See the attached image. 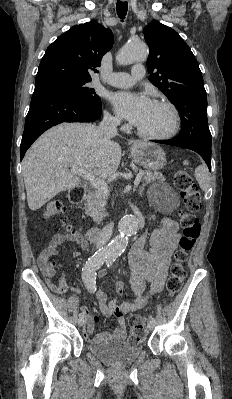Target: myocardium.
Instances as JSON below:
<instances>
[{
  "label": "myocardium",
  "mask_w": 232,
  "mask_h": 399,
  "mask_svg": "<svg viewBox=\"0 0 232 399\" xmlns=\"http://www.w3.org/2000/svg\"><path fill=\"white\" fill-rule=\"evenodd\" d=\"M153 103L157 104V105L166 106L171 110L172 116H173L172 128L165 134L152 136V135H147V134L142 133L140 130H138L135 127L136 135L144 141H152V142L165 141V140H168V139L174 137L179 132L180 126H181V117H180L179 110L173 103L166 101V100H154Z\"/></svg>",
  "instance_id": "obj_1"
}]
</instances>
